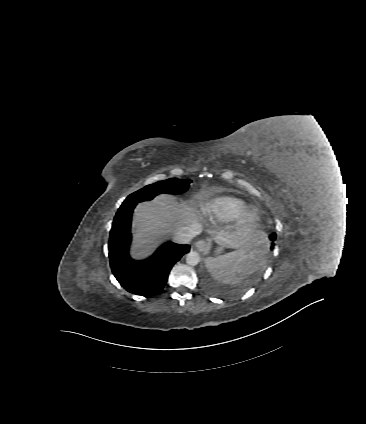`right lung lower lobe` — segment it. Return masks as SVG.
<instances>
[{"mask_svg": "<svg viewBox=\"0 0 366 424\" xmlns=\"http://www.w3.org/2000/svg\"><path fill=\"white\" fill-rule=\"evenodd\" d=\"M135 206H121L116 213L108 244L110 266L118 282L127 291L151 296L163 288L172 266L189 252L190 246L167 242L148 259L133 260L128 251L131 216Z\"/></svg>", "mask_w": 366, "mask_h": 424, "instance_id": "98d812e1", "label": "right lung lower lobe"}]
</instances>
